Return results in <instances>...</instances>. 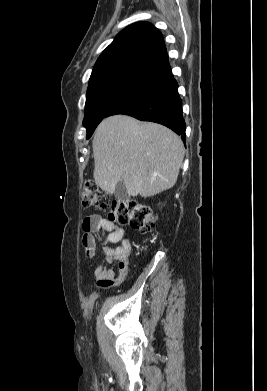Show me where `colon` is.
I'll use <instances>...</instances> for the list:
<instances>
[{
  "label": "colon",
  "instance_id": "colon-1",
  "mask_svg": "<svg viewBox=\"0 0 267 391\" xmlns=\"http://www.w3.org/2000/svg\"><path fill=\"white\" fill-rule=\"evenodd\" d=\"M81 201L84 208L105 210L110 221L119 225H129L141 232L150 231L157 221L146 204L135 199L108 200L105 192L92 181L83 187Z\"/></svg>",
  "mask_w": 267,
  "mask_h": 391
}]
</instances>
